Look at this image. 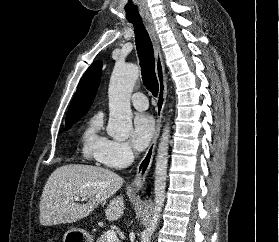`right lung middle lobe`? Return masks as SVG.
I'll list each match as a JSON object with an SVG mask.
<instances>
[{"instance_id": "right-lung-middle-lobe-1", "label": "right lung middle lobe", "mask_w": 279, "mask_h": 242, "mask_svg": "<svg viewBox=\"0 0 279 242\" xmlns=\"http://www.w3.org/2000/svg\"><path fill=\"white\" fill-rule=\"evenodd\" d=\"M73 123H75V122H73ZM73 123H65V125H66V130L69 129Z\"/></svg>"}]
</instances>
